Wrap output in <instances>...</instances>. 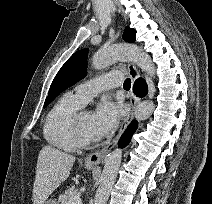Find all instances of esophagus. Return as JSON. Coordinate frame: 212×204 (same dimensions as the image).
<instances>
[{
  "instance_id": "34e87169",
  "label": "esophagus",
  "mask_w": 212,
  "mask_h": 204,
  "mask_svg": "<svg viewBox=\"0 0 212 204\" xmlns=\"http://www.w3.org/2000/svg\"><path fill=\"white\" fill-rule=\"evenodd\" d=\"M127 70L128 74L132 80V83H134L139 77V71L137 70L136 66L133 63L127 64ZM140 99L133 95V92L130 93V112L125 117L124 121L122 122V125L120 127V130L116 137L103 149L100 151L91 153L85 158V165L95 167L100 164L101 161L105 158V156L114 148V146L117 144L118 140L120 139L121 135L127 128V126L130 124V122L133 119L134 110L136 106L138 105Z\"/></svg>"
}]
</instances>
